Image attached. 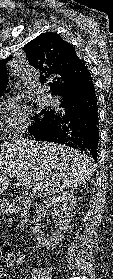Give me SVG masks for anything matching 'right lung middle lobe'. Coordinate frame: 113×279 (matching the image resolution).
Returning <instances> with one entry per match:
<instances>
[{
	"label": "right lung middle lobe",
	"instance_id": "right-lung-middle-lobe-1",
	"mask_svg": "<svg viewBox=\"0 0 113 279\" xmlns=\"http://www.w3.org/2000/svg\"><path fill=\"white\" fill-rule=\"evenodd\" d=\"M54 111L51 109H44L40 113L36 114L33 117L32 125L29 127V129L36 127L40 124L45 123L47 120L50 119V117L53 115Z\"/></svg>",
	"mask_w": 113,
	"mask_h": 279
}]
</instances>
